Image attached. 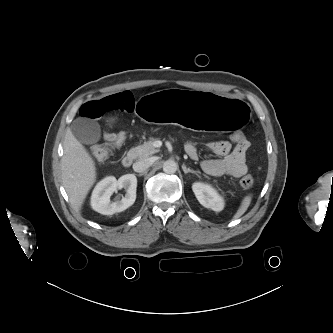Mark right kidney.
<instances>
[{
	"instance_id": "ca27d5eb",
	"label": "right kidney",
	"mask_w": 333,
	"mask_h": 333,
	"mask_svg": "<svg viewBox=\"0 0 333 333\" xmlns=\"http://www.w3.org/2000/svg\"><path fill=\"white\" fill-rule=\"evenodd\" d=\"M137 178L133 174H126L116 180L109 176L97 183L91 196L92 208L103 215H113L130 207L136 200ZM124 188L125 196L121 200L111 202V195L117 189Z\"/></svg>"
}]
</instances>
